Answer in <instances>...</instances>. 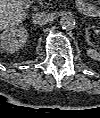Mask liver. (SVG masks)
<instances>
[{
  "instance_id": "1",
  "label": "liver",
  "mask_w": 100,
  "mask_h": 118,
  "mask_svg": "<svg viewBox=\"0 0 100 118\" xmlns=\"http://www.w3.org/2000/svg\"><path fill=\"white\" fill-rule=\"evenodd\" d=\"M25 18V11L19 0H1L0 2V22L1 28L15 26Z\"/></svg>"
}]
</instances>
